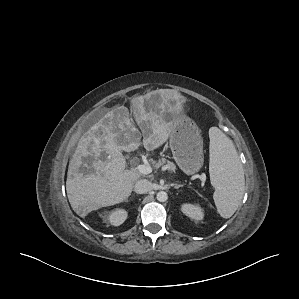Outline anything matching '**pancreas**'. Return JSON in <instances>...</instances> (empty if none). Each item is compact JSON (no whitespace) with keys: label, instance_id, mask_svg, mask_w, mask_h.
<instances>
[{"label":"pancreas","instance_id":"1","mask_svg":"<svg viewBox=\"0 0 299 299\" xmlns=\"http://www.w3.org/2000/svg\"><path fill=\"white\" fill-rule=\"evenodd\" d=\"M151 163L155 166V167H160L161 165L166 164V166L168 167V169H174L175 166L172 162L166 160V159H161L159 161H155V160H151Z\"/></svg>","mask_w":299,"mask_h":299}]
</instances>
